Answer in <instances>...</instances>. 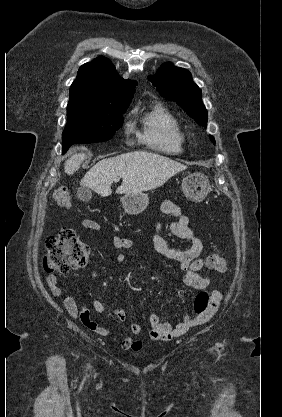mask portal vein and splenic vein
<instances>
[{
    "mask_svg": "<svg viewBox=\"0 0 282 417\" xmlns=\"http://www.w3.org/2000/svg\"><path fill=\"white\" fill-rule=\"evenodd\" d=\"M120 178H114V182H119Z\"/></svg>",
    "mask_w": 282,
    "mask_h": 417,
    "instance_id": "1",
    "label": "portal vein and splenic vein"
}]
</instances>
